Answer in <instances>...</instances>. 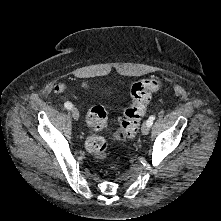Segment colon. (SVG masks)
Returning a JSON list of instances; mask_svg holds the SVG:
<instances>
[{
  "mask_svg": "<svg viewBox=\"0 0 221 221\" xmlns=\"http://www.w3.org/2000/svg\"><path fill=\"white\" fill-rule=\"evenodd\" d=\"M160 85L159 79L147 78L132 86V103L124 110L120 126L113 133L114 139L126 142L136 136L151 94L156 92ZM86 123L90 130V135L86 140V148L95 159H104L107 155V142L104 138L96 135V132L106 129L108 126V115L104 107H91L87 112Z\"/></svg>",
  "mask_w": 221,
  "mask_h": 221,
  "instance_id": "5ec220e1",
  "label": "colon"
}]
</instances>
